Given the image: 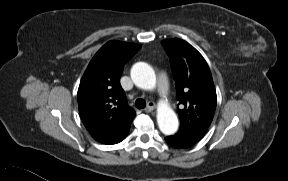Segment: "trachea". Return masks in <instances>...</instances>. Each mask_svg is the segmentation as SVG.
<instances>
[{"label": "trachea", "instance_id": "3493384b", "mask_svg": "<svg viewBox=\"0 0 288 181\" xmlns=\"http://www.w3.org/2000/svg\"><path fill=\"white\" fill-rule=\"evenodd\" d=\"M135 106L138 108V109H143L146 107V101L139 98L135 101Z\"/></svg>", "mask_w": 288, "mask_h": 181}]
</instances>
